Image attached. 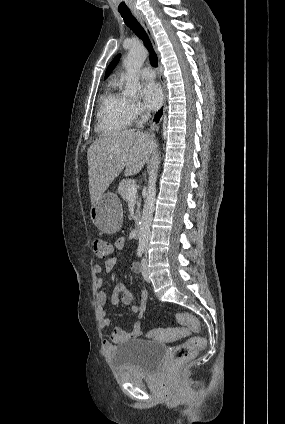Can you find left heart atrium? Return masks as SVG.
Listing matches in <instances>:
<instances>
[{"label":"left heart atrium","instance_id":"left-heart-atrium-1","mask_svg":"<svg viewBox=\"0 0 285 424\" xmlns=\"http://www.w3.org/2000/svg\"><path fill=\"white\" fill-rule=\"evenodd\" d=\"M141 96L145 107L151 110L158 108L163 100L162 89L155 81L145 82L142 85Z\"/></svg>","mask_w":285,"mask_h":424}]
</instances>
